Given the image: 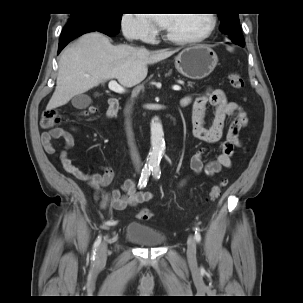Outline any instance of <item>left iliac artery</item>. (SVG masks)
Wrapping results in <instances>:
<instances>
[{"instance_id": "obj_1", "label": "left iliac artery", "mask_w": 303, "mask_h": 303, "mask_svg": "<svg viewBox=\"0 0 303 303\" xmlns=\"http://www.w3.org/2000/svg\"><path fill=\"white\" fill-rule=\"evenodd\" d=\"M152 175L154 176L155 179H159L161 175V171L159 166H153L152 168ZM195 239L197 242H200L201 240V234H200V229L199 227L195 228Z\"/></svg>"}]
</instances>
